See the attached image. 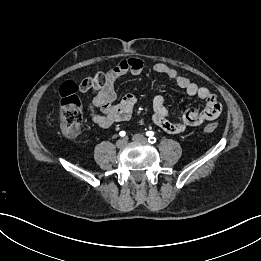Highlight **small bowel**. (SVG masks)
Segmentation results:
<instances>
[{
    "label": "small bowel",
    "instance_id": "small-bowel-1",
    "mask_svg": "<svg viewBox=\"0 0 261 261\" xmlns=\"http://www.w3.org/2000/svg\"><path fill=\"white\" fill-rule=\"evenodd\" d=\"M143 69L144 63L141 59L129 58L122 60L115 67L105 72L106 84L103 88L97 90L88 108L93 123L101 128H109L115 123L126 121L130 118L137 99L134 94L127 93L117 101L115 82L126 73L139 75ZM152 72L166 75L178 87L183 89L187 95L198 97L205 101V106L201 111L191 108L184 113L180 120L171 121L168 118L169 110L165 105V97L162 94L156 95L152 103V121L162 130L172 134H179L190 127L199 126L206 121H212L220 115L222 104L208 88L199 86L190 78L183 76L176 69L164 63H156L152 67ZM82 83L80 86L81 90L89 92L90 90L84 88ZM149 86L150 81H147L144 87L148 88Z\"/></svg>",
    "mask_w": 261,
    "mask_h": 261
}]
</instances>
